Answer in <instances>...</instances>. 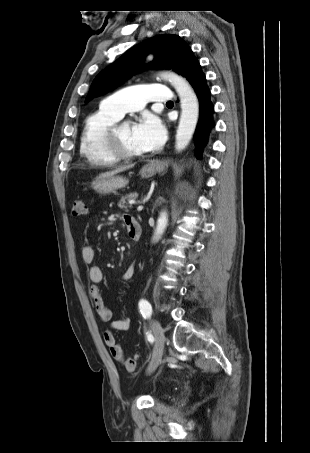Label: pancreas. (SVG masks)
Masks as SVG:
<instances>
[{"label":"pancreas","instance_id":"obj_1","mask_svg":"<svg viewBox=\"0 0 310 453\" xmlns=\"http://www.w3.org/2000/svg\"><path fill=\"white\" fill-rule=\"evenodd\" d=\"M138 197L137 193H130L124 197L121 198V200L118 203V207L123 210H128V208H131V205H129L130 200H135Z\"/></svg>","mask_w":310,"mask_h":453}]
</instances>
